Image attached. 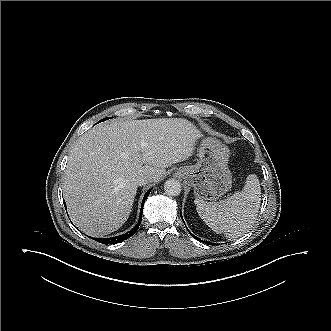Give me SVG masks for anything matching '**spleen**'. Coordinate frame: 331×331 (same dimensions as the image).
<instances>
[{
  "instance_id": "1",
  "label": "spleen",
  "mask_w": 331,
  "mask_h": 331,
  "mask_svg": "<svg viewBox=\"0 0 331 331\" xmlns=\"http://www.w3.org/2000/svg\"><path fill=\"white\" fill-rule=\"evenodd\" d=\"M260 194L258 178L249 175L241 191L220 202L198 201L196 209L214 232L234 239L251 228L259 210Z\"/></svg>"
}]
</instances>
